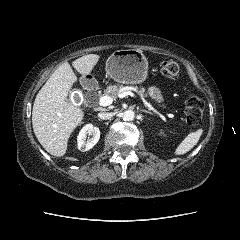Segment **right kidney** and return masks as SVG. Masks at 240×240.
Wrapping results in <instances>:
<instances>
[{
  "instance_id": "right-kidney-1",
  "label": "right kidney",
  "mask_w": 240,
  "mask_h": 240,
  "mask_svg": "<svg viewBox=\"0 0 240 240\" xmlns=\"http://www.w3.org/2000/svg\"><path fill=\"white\" fill-rule=\"evenodd\" d=\"M87 135L92 137H87ZM99 138L100 130L98 127H95L92 124L85 125L77 137L78 149L81 151L90 150L97 144Z\"/></svg>"
}]
</instances>
